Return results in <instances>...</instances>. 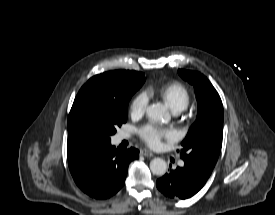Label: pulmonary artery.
I'll return each instance as SVG.
<instances>
[{"instance_id": "pulmonary-artery-1", "label": "pulmonary artery", "mask_w": 275, "mask_h": 215, "mask_svg": "<svg viewBox=\"0 0 275 215\" xmlns=\"http://www.w3.org/2000/svg\"><path fill=\"white\" fill-rule=\"evenodd\" d=\"M175 113H177V112H175ZM126 137H127V135H125V134L121 135V138H126ZM183 165H184V162L180 161L179 166H183Z\"/></svg>"}]
</instances>
